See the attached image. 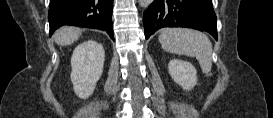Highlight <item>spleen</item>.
<instances>
[{
    "label": "spleen",
    "instance_id": "1",
    "mask_svg": "<svg viewBox=\"0 0 273 118\" xmlns=\"http://www.w3.org/2000/svg\"><path fill=\"white\" fill-rule=\"evenodd\" d=\"M163 50L190 57H196L202 71L208 74L212 67V44L209 38L190 29H163L159 35Z\"/></svg>",
    "mask_w": 273,
    "mask_h": 118
}]
</instances>
